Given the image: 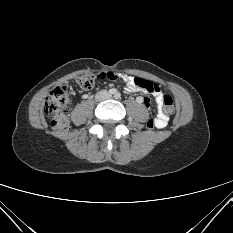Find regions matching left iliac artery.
I'll use <instances>...</instances> for the list:
<instances>
[{"instance_id":"left-iliac-artery-1","label":"left iliac artery","mask_w":233,"mask_h":233,"mask_svg":"<svg viewBox=\"0 0 233 233\" xmlns=\"http://www.w3.org/2000/svg\"><path fill=\"white\" fill-rule=\"evenodd\" d=\"M115 98H116V99L120 98V93H116V94H115Z\"/></svg>"}]
</instances>
